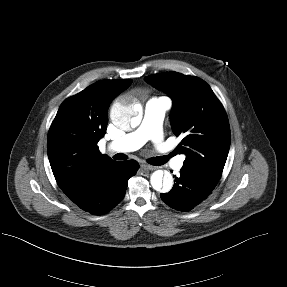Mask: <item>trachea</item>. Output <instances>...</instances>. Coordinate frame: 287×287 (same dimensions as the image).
Listing matches in <instances>:
<instances>
[{
  "label": "trachea",
  "mask_w": 287,
  "mask_h": 287,
  "mask_svg": "<svg viewBox=\"0 0 287 287\" xmlns=\"http://www.w3.org/2000/svg\"><path fill=\"white\" fill-rule=\"evenodd\" d=\"M171 155L169 156H158V157H152L148 160V162L151 164V165H154V166H160V165H163L165 164L167 161H168V158L170 157ZM115 160H125L127 159V156L122 154V153H118L116 155H114L113 157Z\"/></svg>",
  "instance_id": "1"
}]
</instances>
